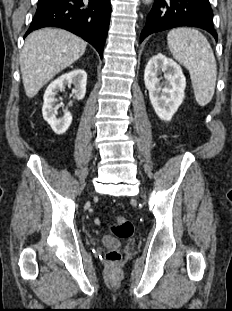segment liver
Wrapping results in <instances>:
<instances>
[{
  "instance_id": "obj_1",
  "label": "liver",
  "mask_w": 232,
  "mask_h": 311,
  "mask_svg": "<svg viewBox=\"0 0 232 311\" xmlns=\"http://www.w3.org/2000/svg\"><path fill=\"white\" fill-rule=\"evenodd\" d=\"M86 46L83 39L62 29L45 28L28 35L20 58L26 95L33 98L56 74L77 61Z\"/></svg>"
}]
</instances>
